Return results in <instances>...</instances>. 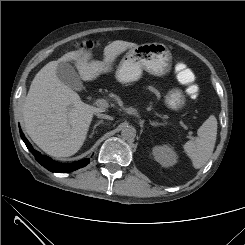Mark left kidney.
Here are the masks:
<instances>
[{
	"label": "left kidney",
	"mask_w": 245,
	"mask_h": 245,
	"mask_svg": "<svg viewBox=\"0 0 245 245\" xmlns=\"http://www.w3.org/2000/svg\"><path fill=\"white\" fill-rule=\"evenodd\" d=\"M154 159L163 167L173 166L177 163L178 156L173 147L167 144L153 147Z\"/></svg>",
	"instance_id": "1"
}]
</instances>
